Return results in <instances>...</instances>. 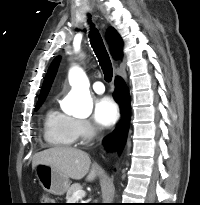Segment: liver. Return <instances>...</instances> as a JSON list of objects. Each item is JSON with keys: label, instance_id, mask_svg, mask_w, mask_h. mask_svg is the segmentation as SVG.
Returning a JSON list of instances; mask_svg holds the SVG:
<instances>
[{"label": "liver", "instance_id": "6515ba94", "mask_svg": "<svg viewBox=\"0 0 200 205\" xmlns=\"http://www.w3.org/2000/svg\"><path fill=\"white\" fill-rule=\"evenodd\" d=\"M38 164L51 166L74 180H80L87 175L86 181L91 182L98 174L95 165L90 169L89 155L75 148L53 147L38 152L33 156L32 168L35 169Z\"/></svg>", "mask_w": 200, "mask_h": 205}]
</instances>
